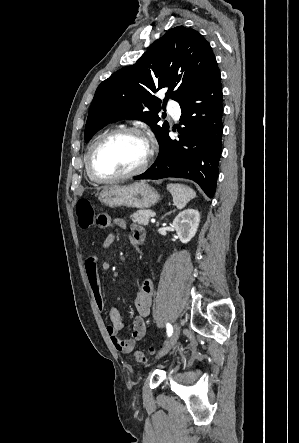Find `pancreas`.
Here are the masks:
<instances>
[{
  "label": "pancreas",
  "instance_id": "1",
  "mask_svg": "<svg viewBox=\"0 0 299 443\" xmlns=\"http://www.w3.org/2000/svg\"><path fill=\"white\" fill-rule=\"evenodd\" d=\"M151 212H152L151 210H146V209L138 210L131 215V218L134 222L147 226L149 224L150 220L149 214Z\"/></svg>",
  "mask_w": 299,
  "mask_h": 443
}]
</instances>
